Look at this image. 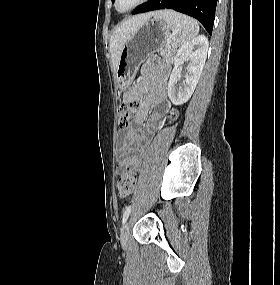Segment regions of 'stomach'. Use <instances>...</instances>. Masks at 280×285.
<instances>
[{
  "mask_svg": "<svg viewBox=\"0 0 280 285\" xmlns=\"http://www.w3.org/2000/svg\"><path fill=\"white\" fill-rule=\"evenodd\" d=\"M170 37V27L159 18L149 19L124 44L116 68V80L126 91L136 75L139 64L151 53L162 49Z\"/></svg>",
  "mask_w": 280,
  "mask_h": 285,
  "instance_id": "stomach-1",
  "label": "stomach"
}]
</instances>
